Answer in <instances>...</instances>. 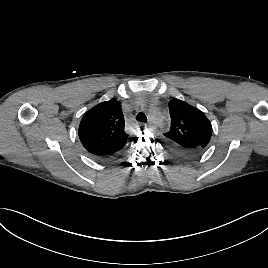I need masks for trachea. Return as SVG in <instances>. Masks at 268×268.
<instances>
[{"label":"trachea","mask_w":268,"mask_h":268,"mask_svg":"<svg viewBox=\"0 0 268 268\" xmlns=\"http://www.w3.org/2000/svg\"><path fill=\"white\" fill-rule=\"evenodd\" d=\"M136 119H137V121H139V122H144V123L147 122V117H146V115H145L144 113H142V112H140V113L137 114Z\"/></svg>","instance_id":"trachea-1"}]
</instances>
